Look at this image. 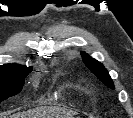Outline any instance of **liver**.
<instances>
[{
    "instance_id": "6515ba94",
    "label": "liver",
    "mask_w": 133,
    "mask_h": 118,
    "mask_svg": "<svg viewBox=\"0 0 133 118\" xmlns=\"http://www.w3.org/2000/svg\"><path fill=\"white\" fill-rule=\"evenodd\" d=\"M74 115L76 113L71 110L44 107L15 114L11 118H72Z\"/></svg>"
}]
</instances>
